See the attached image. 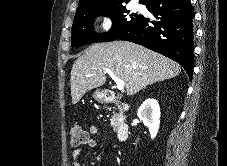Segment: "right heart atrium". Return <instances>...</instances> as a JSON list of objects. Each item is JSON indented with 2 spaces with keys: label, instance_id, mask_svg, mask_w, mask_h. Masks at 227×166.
Wrapping results in <instances>:
<instances>
[{
  "label": "right heart atrium",
  "instance_id": "d8ad5b80",
  "mask_svg": "<svg viewBox=\"0 0 227 166\" xmlns=\"http://www.w3.org/2000/svg\"><path fill=\"white\" fill-rule=\"evenodd\" d=\"M98 26L103 33H110L114 28V20L109 15H102L98 20Z\"/></svg>",
  "mask_w": 227,
  "mask_h": 166
}]
</instances>
